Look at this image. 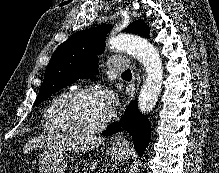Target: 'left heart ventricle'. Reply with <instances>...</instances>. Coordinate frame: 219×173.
<instances>
[{
    "label": "left heart ventricle",
    "instance_id": "left-heart-ventricle-1",
    "mask_svg": "<svg viewBox=\"0 0 219 173\" xmlns=\"http://www.w3.org/2000/svg\"><path fill=\"white\" fill-rule=\"evenodd\" d=\"M71 121L82 128H89L101 123L109 111L104 106L100 94H84L75 98L69 106Z\"/></svg>",
    "mask_w": 219,
    "mask_h": 173
}]
</instances>
